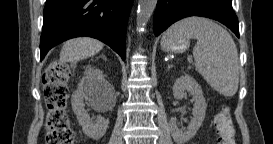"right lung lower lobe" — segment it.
<instances>
[{
    "label": "right lung lower lobe",
    "instance_id": "1",
    "mask_svg": "<svg viewBox=\"0 0 273 144\" xmlns=\"http://www.w3.org/2000/svg\"><path fill=\"white\" fill-rule=\"evenodd\" d=\"M133 0H47L40 38L41 60L55 45L79 36L99 39L125 59V35Z\"/></svg>",
    "mask_w": 273,
    "mask_h": 144
}]
</instances>
